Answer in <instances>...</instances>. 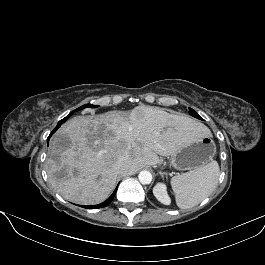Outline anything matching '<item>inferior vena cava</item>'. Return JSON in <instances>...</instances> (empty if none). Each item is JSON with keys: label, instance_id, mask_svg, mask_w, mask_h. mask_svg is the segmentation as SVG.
<instances>
[{"label": "inferior vena cava", "instance_id": "inferior-vena-cava-1", "mask_svg": "<svg viewBox=\"0 0 265 265\" xmlns=\"http://www.w3.org/2000/svg\"><path fill=\"white\" fill-rule=\"evenodd\" d=\"M118 166H119L120 170H125V168H126V164L123 160L119 161Z\"/></svg>", "mask_w": 265, "mask_h": 265}]
</instances>
